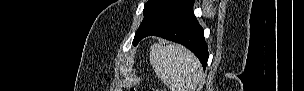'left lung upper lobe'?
<instances>
[{"label":"left lung upper lobe","instance_id":"1","mask_svg":"<svg viewBox=\"0 0 304 91\" xmlns=\"http://www.w3.org/2000/svg\"><path fill=\"white\" fill-rule=\"evenodd\" d=\"M169 2L170 0H148L143 10V21L135 34L133 44H136L141 36L155 23Z\"/></svg>","mask_w":304,"mask_h":91}]
</instances>
